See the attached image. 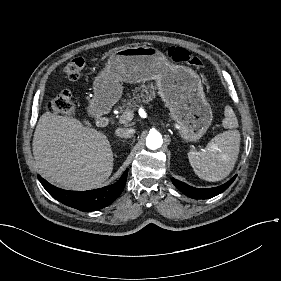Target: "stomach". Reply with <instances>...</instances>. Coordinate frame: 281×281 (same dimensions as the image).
I'll use <instances>...</instances> for the list:
<instances>
[{
  "instance_id": "obj_1",
  "label": "stomach",
  "mask_w": 281,
  "mask_h": 281,
  "mask_svg": "<svg viewBox=\"0 0 281 281\" xmlns=\"http://www.w3.org/2000/svg\"><path fill=\"white\" fill-rule=\"evenodd\" d=\"M157 79L160 95L169 106L171 117L183 126L181 135L196 140L212 121L199 76L191 69L172 65L151 47L137 46L112 54L107 68L95 79V97L90 102L93 117L105 114L121 96L120 81L135 83Z\"/></svg>"
}]
</instances>
